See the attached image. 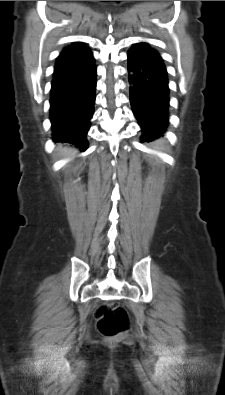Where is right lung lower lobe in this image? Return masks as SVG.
Returning <instances> with one entry per match:
<instances>
[{
  "instance_id": "98d812e1",
  "label": "right lung lower lobe",
  "mask_w": 225,
  "mask_h": 395,
  "mask_svg": "<svg viewBox=\"0 0 225 395\" xmlns=\"http://www.w3.org/2000/svg\"><path fill=\"white\" fill-rule=\"evenodd\" d=\"M92 60L80 68L54 72L51 82L50 120L55 142H69L82 151L94 113L96 66Z\"/></svg>"
}]
</instances>
